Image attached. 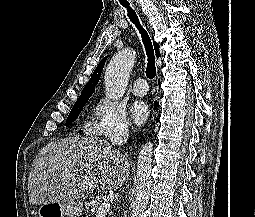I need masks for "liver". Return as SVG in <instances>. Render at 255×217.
I'll use <instances>...</instances> for the list:
<instances>
[{
	"instance_id": "1",
	"label": "liver",
	"mask_w": 255,
	"mask_h": 217,
	"mask_svg": "<svg viewBox=\"0 0 255 217\" xmlns=\"http://www.w3.org/2000/svg\"><path fill=\"white\" fill-rule=\"evenodd\" d=\"M128 159L99 137L65 138L47 144L33 161L28 180L35 205L82 198L96 187L118 190L129 176Z\"/></svg>"
}]
</instances>
